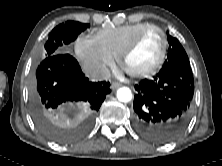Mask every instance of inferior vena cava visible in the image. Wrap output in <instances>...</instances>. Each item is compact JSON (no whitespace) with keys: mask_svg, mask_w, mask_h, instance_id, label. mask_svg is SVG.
I'll return each mask as SVG.
<instances>
[{"mask_svg":"<svg viewBox=\"0 0 222 166\" xmlns=\"http://www.w3.org/2000/svg\"><path fill=\"white\" fill-rule=\"evenodd\" d=\"M85 75L93 81L107 80L111 77L107 67L86 68Z\"/></svg>","mask_w":222,"mask_h":166,"instance_id":"602c4592","label":"inferior vena cava"}]
</instances>
